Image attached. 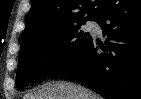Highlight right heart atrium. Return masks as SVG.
Instances as JSON below:
<instances>
[{
  "label": "right heart atrium",
  "instance_id": "obj_1",
  "mask_svg": "<svg viewBox=\"0 0 141 99\" xmlns=\"http://www.w3.org/2000/svg\"><path fill=\"white\" fill-rule=\"evenodd\" d=\"M56 54H57V57L59 60H63L66 55L65 46H63V45L58 46L56 49Z\"/></svg>",
  "mask_w": 141,
  "mask_h": 99
}]
</instances>
